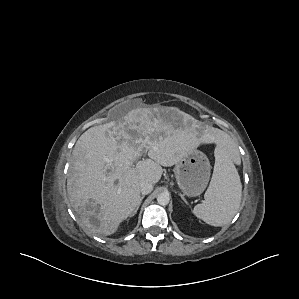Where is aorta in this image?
<instances>
[{"label": "aorta", "mask_w": 299, "mask_h": 299, "mask_svg": "<svg viewBox=\"0 0 299 299\" xmlns=\"http://www.w3.org/2000/svg\"><path fill=\"white\" fill-rule=\"evenodd\" d=\"M169 201H170V196L168 193H161L157 197V202L160 205H163V206L167 205L169 203Z\"/></svg>", "instance_id": "obj_1"}]
</instances>
